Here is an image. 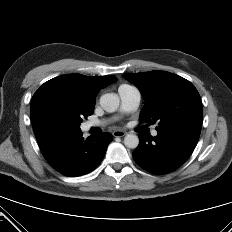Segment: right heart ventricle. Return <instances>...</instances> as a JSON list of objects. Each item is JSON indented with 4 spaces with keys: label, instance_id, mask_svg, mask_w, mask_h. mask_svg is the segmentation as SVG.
<instances>
[{
    "label": "right heart ventricle",
    "instance_id": "1",
    "mask_svg": "<svg viewBox=\"0 0 232 232\" xmlns=\"http://www.w3.org/2000/svg\"><path fill=\"white\" fill-rule=\"evenodd\" d=\"M122 86H129V85H121L120 87H122ZM120 87H119V88H120Z\"/></svg>",
    "mask_w": 232,
    "mask_h": 232
}]
</instances>
